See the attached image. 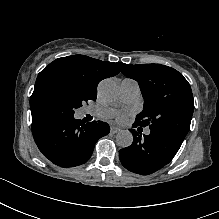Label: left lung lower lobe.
Returning <instances> with one entry per match:
<instances>
[{
  "instance_id": "obj_1",
  "label": "left lung lower lobe",
  "mask_w": 219,
  "mask_h": 219,
  "mask_svg": "<svg viewBox=\"0 0 219 219\" xmlns=\"http://www.w3.org/2000/svg\"><path fill=\"white\" fill-rule=\"evenodd\" d=\"M130 129L133 143L119 151L122 165L137 174H152L167 165L178 152L182 140L162 131L150 130L148 135L141 134L142 128L136 123Z\"/></svg>"
}]
</instances>
